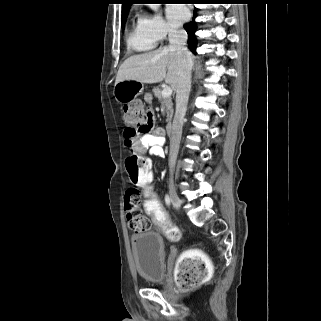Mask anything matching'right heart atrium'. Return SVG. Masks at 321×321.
I'll return each instance as SVG.
<instances>
[{
  "mask_svg": "<svg viewBox=\"0 0 321 321\" xmlns=\"http://www.w3.org/2000/svg\"><path fill=\"white\" fill-rule=\"evenodd\" d=\"M139 24L156 41H161L176 33L159 13L144 14L139 18Z\"/></svg>",
  "mask_w": 321,
  "mask_h": 321,
  "instance_id": "1",
  "label": "right heart atrium"
}]
</instances>
